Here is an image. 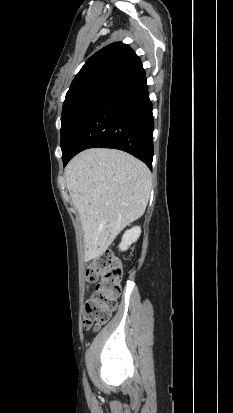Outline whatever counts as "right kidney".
<instances>
[{
    "instance_id": "1",
    "label": "right kidney",
    "mask_w": 233,
    "mask_h": 413,
    "mask_svg": "<svg viewBox=\"0 0 233 413\" xmlns=\"http://www.w3.org/2000/svg\"><path fill=\"white\" fill-rule=\"evenodd\" d=\"M141 234V228L136 226L131 228L130 230H127L124 235L122 236V241L119 245V248L122 251L127 250L131 244H133L134 242L137 241V239L139 238Z\"/></svg>"
}]
</instances>
